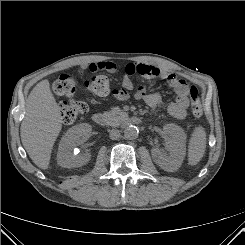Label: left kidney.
Masks as SVG:
<instances>
[{
  "instance_id": "obj_1",
  "label": "left kidney",
  "mask_w": 245,
  "mask_h": 245,
  "mask_svg": "<svg viewBox=\"0 0 245 245\" xmlns=\"http://www.w3.org/2000/svg\"><path fill=\"white\" fill-rule=\"evenodd\" d=\"M163 131L171 139L168 147L169 154L164 150L153 148L151 150L154 161L164 170L172 171L180 167L186 152V134L175 124H166Z\"/></svg>"
}]
</instances>
